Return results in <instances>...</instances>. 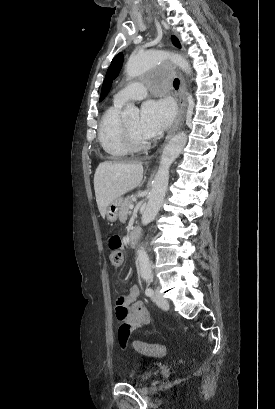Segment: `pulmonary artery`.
I'll list each match as a JSON object with an SVG mask.
<instances>
[{
  "mask_svg": "<svg viewBox=\"0 0 275 409\" xmlns=\"http://www.w3.org/2000/svg\"><path fill=\"white\" fill-rule=\"evenodd\" d=\"M145 85H134L132 88H128L126 85L119 87V92L114 97V103L117 105H124L129 99L140 100L146 96Z\"/></svg>",
  "mask_w": 275,
  "mask_h": 409,
  "instance_id": "pulmonary-artery-1",
  "label": "pulmonary artery"
}]
</instances>
